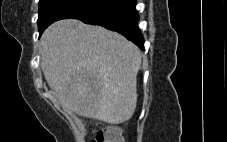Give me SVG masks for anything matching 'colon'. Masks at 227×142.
I'll use <instances>...</instances> for the list:
<instances>
[{
  "label": "colon",
  "mask_w": 227,
  "mask_h": 142,
  "mask_svg": "<svg viewBox=\"0 0 227 142\" xmlns=\"http://www.w3.org/2000/svg\"><path fill=\"white\" fill-rule=\"evenodd\" d=\"M92 142H123L121 130L118 127L104 128Z\"/></svg>",
  "instance_id": "obj_1"
}]
</instances>
